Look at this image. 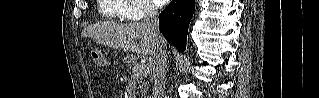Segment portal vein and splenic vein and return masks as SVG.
<instances>
[{
	"label": "portal vein and splenic vein",
	"instance_id": "18ae733b",
	"mask_svg": "<svg viewBox=\"0 0 319 98\" xmlns=\"http://www.w3.org/2000/svg\"><path fill=\"white\" fill-rule=\"evenodd\" d=\"M133 70L136 75H143L150 72V67L147 65L135 66Z\"/></svg>",
	"mask_w": 319,
	"mask_h": 98
}]
</instances>
